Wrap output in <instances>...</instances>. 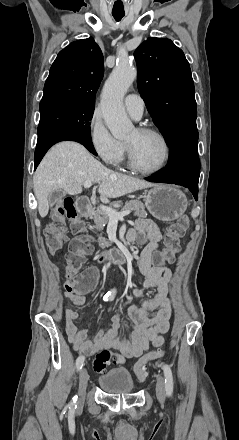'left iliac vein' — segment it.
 <instances>
[{"mask_svg": "<svg viewBox=\"0 0 239 440\" xmlns=\"http://www.w3.org/2000/svg\"><path fill=\"white\" fill-rule=\"evenodd\" d=\"M165 383L164 378L161 375L157 376L156 394L158 400L163 403L165 401Z\"/></svg>", "mask_w": 239, "mask_h": 440, "instance_id": "left-iliac-vein-1", "label": "left iliac vein"}]
</instances>
